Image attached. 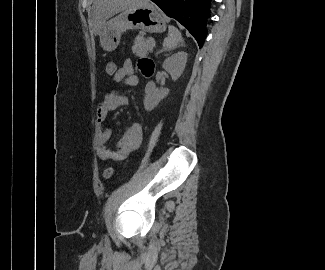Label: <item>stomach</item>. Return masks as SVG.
I'll list each match as a JSON object with an SVG mask.
<instances>
[{"instance_id":"stomach-1","label":"stomach","mask_w":325,"mask_h":270,"mask_svg":"<svg viewBox=\"0 0 325 270\" xmlns=\"http://www.w3.org/2000/svg\"><path fill=\"white\" fill-rule=\"evenodd\" d=\"M129 29L161 33L166 30V21L160 10L151 3L129 7L106 21L100 32L102 48L106 51L115 50L119 45L121 34Z\"/></svg>"}]
</instances>
